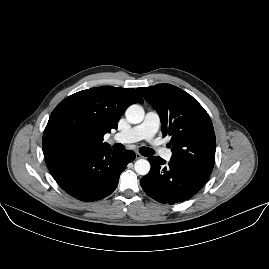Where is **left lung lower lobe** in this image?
I'll use <instances>...</instances> for the list:
<instances>
[{
  "instance_id": "obj_1",
  "label": "left lung lower lobe",
  "mask_w": 269,
  "mask_h": 269,
  "mask_svg": "<svg viewBox=\"0 0 269 269\" xmlns=\"http://www.w3.org/2000/svg\"><path fill=\"white\" fill-rule=\"evenodd\" d=\"M150 172L141 178L145 193L156 201L174 204L190 199L205 185L210 172L160 157L148 158Z\"/></svg>"
}]
</instances>
